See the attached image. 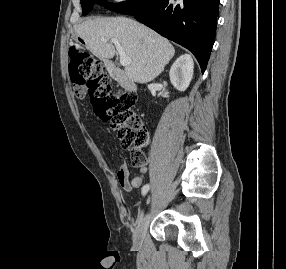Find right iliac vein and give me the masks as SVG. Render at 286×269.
<instances>
[{"instance_id":"right-iliac-vein-1","label":"right iliac vein","mask_w":286,"mask_h":269,"mask_svg":"<svg viewBox=\"0 0 286 269\" xmlns=\"http://www.w3.org/2000/svg\"><path fill=\"white\" fill-rule=\"evenodd\" d=\"M151 215L147 214L142 220L141 224L137 227L133 235V245L135 248H140L143 243V238L147 231Z\"/></svg>"}]
</instances>
